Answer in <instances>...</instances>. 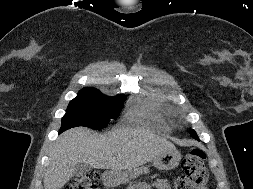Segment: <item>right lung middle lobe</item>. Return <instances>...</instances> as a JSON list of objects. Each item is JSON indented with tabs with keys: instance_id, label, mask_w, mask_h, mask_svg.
<instances>
[{
	"instance_id": "1",
	"label": "right lung middle lobe",
	"mask_w": 253,
	"mask_h": 189,
	"mask_svg": "<svg viewBox=\"0 0 253 189\" xmlns=\"http://www.w3.org/2000/svg\"><path fill=\"white\" fill-rule=\"evenodd\" d=\"M125 97H108L100 92L79 93L70 101L66 114L62 118L59 133L75 126L93 129L105 128L111 119L119 116Z\"/></svg>"
}]
</instances>
